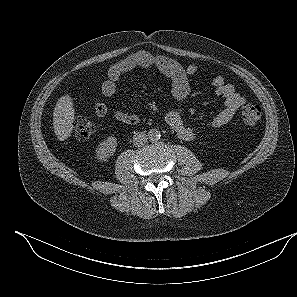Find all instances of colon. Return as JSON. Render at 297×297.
<instances>
[{"label":"colon","instance_id":"obj_1","mask_svg":"<svg viewBox=\"0 0 297 297\" xmlns=\"http://www.w3.org/2000/svg\"><path fill=\"white\" fill-rule=\"evenodd\" d=\"M262 117V110L259 105L245 104L240 111V118L244 125L255 126ZM74 133L77 138L84 139L90 137L96 131V124L86 117H77L73 123Z\"/></svg>","mask_w":297,"mask_h":297}]
</instances>
